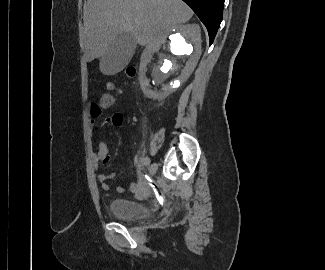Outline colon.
Wrapping results in <instances>:
<instances>
[{
	"label": "colon",
	"mask_w": 325,
	"mask_h": 270,
	"mask_svg": "<svg viewBox=\"0 0 325 270\" xmlns=\"http://www.w3.org/2000/svg\"><path fill=\"white\" fill-rule=\"evenodd\" d=\"M135 75V69L134 68H128L127 69V76L132 77ZM113 92H117V88L114 84L110 83L108 84V91L103 93L100 103L104 107H111L115 103L116 95Z\"/></svg>",
	"instance_id": "colon-1"
}]
</instances>
